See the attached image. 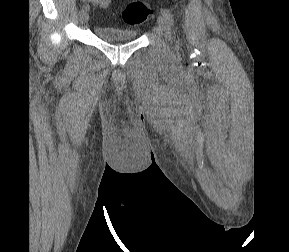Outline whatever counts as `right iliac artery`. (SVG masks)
<instances>
[{
  "label": "right iliac artery",
  "instance_id": "obj_1",
  "mask_svg": "<svg viewBox=\"0 0 289 252\" xmlns=\"http://www.w3.org/2000/svg\"><path fill=\"white\" fill-rule=\"evenodd\" d=\"M89 8H90V6L89 5H83V7H82V11H88L89 10Z\"/></svg>",
  "mask_w": 289,
  "mask_h": 252
}]
</instances>
